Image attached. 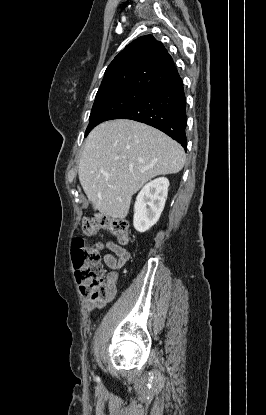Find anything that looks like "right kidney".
I'll list each match as a JSON object with an SVG mask.
<instances>
[{
  "mask_svg": "<svg viewBox=\"0 0 266 415\" xmlns=\"http://www.w3.org/2000/svg\"><path fill=\"white\" fill-rule=\"evenodd\" d=\"M169 180L164 177L147 183L139 192L134 205L133 225L145 232L159 220L168 195Z\"/></svg>",
  "mask_w": 266,
  "mask_h": 415,
  "instance_id": "1",
  "label": "right kidney"
}]
</instances>
